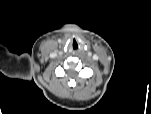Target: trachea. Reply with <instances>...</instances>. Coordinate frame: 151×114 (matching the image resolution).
Here are the masks:
<instances>
[{
    "label": "trachea",
    "mask_w": 151,
    "mask_h": 114,
    "mask_svg": "<svg viewBox=\"0 0 151 114\" xmlns=\"http://www.w3.org/2000/svg\"><path fill=\"white\" fill-rule=\"evenodd\" d=\"M78 48V44L76 42H73V49H77Z\"/></svg>",
    "instance_id": "obj_1"
}]
</instances>
